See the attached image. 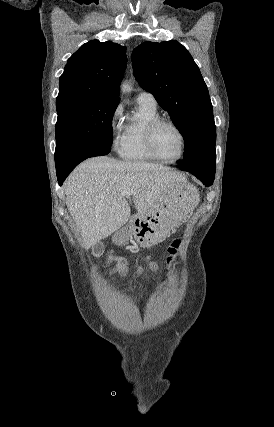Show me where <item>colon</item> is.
<instances>
[{"label":"colon","mask_w":274,"mask_h":427,"mask_svg":"<svg viewBox=\"0 0 274 427\" xmlns=\"http://www.w3.org/2000/svg\"><path fill=\"white\" fill-rule=\"evenodd\" d=\"M146 260H147V262L149 263V265L151 266V268H152V269H154V270H155V269H158V268H159V265L157 264V262H156V261H154L150 255H148V256L146 257ZM164 263H165V264H167V260H164ZM118 269H119V273H122V272L125 270V267H124V265L121 263V260H119V266H118ZM138 272H139V270H138ZM113 277H114V278H117V275H116V274H113Z\"/></svg>","instance_id":"1"}]
</instances>
